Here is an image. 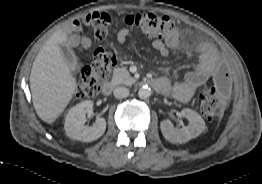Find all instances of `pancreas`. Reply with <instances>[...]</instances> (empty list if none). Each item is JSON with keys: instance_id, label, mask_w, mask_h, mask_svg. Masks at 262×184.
<instances>
[{"instance_id": "obj_1", "label": "pancreas", "mask_w": 262, "mask_h": 184, "mask_svg": "<svg viewBox=\"0 0 262 184\" xmlns=\"http://www.w3.org/2000/svg\"><path fill=\"white\" fill-rule=\"evenodd\" d=\"M135 79L129 74V71L125 67L115 68L113 71L112 83L114 85H131L135 83Z\"/></svg>"}]
</instances>
